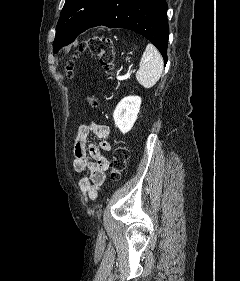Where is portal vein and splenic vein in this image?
I'll return each instance as SVG.
<instances>
[{
    "label": "portal vein and splenic vein",
    "mask_w": 240,
    "mask_h": 281,
    "mask_svg": "<svg viewBox=\"0 0 240 281\" xmlns=\"http://www.w3.org/2000/svg\"><path fill=\"white\" fill-rule=\"evenodd\" d=\"M134 71H135V70L128 71L125 75H123V76H118L117 79H118V80H125V79H128V78H130L131 74H132Z\"/></svg>",
    "instance_id": "portal-vein-and-splenic-vein-1"
}]
</instances>
